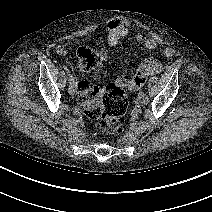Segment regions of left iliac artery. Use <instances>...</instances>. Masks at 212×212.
<instances>
[{
  "mask_svg": "<svg viewBox=\"0 0 212 212\" xmlns=\"http://www.w3.org/2000/svg\"><path fill=\"white\" fill-rule=\"evenodd\" d=\"M149 102H150V98L146 95V96L144 97V103H145V104H149Z\"/></svg>",
  "mask_w": 212,
  "mask_h": 212,
  "instance_id": "obj_1",
  "label": "left iliac artery"
}]
</instances>
